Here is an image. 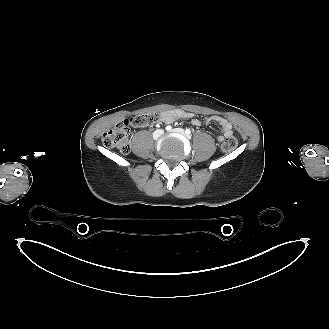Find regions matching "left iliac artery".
<instances>
[{
  "label": "left iliac artery",
  "instance_id": "44dca946",
  "mask_svg": "<svg viewBox=\"0 0 329 329\" xmlns=\"http://www.w3.org/2000/svg\"><path fill=\"white\" fill-rule=\"evenodd\" d=\"M185 133H186L187 135H190V134H191L190 129H186V130H185Z\"/></svg>",
  "mask_w": 329,
  "mask_h": 329
}]
</instances>
